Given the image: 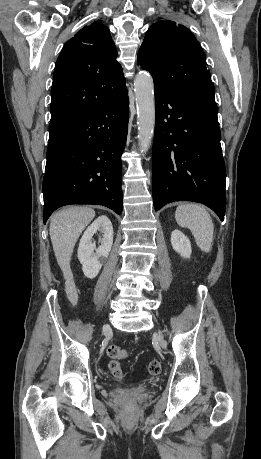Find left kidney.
Wrapping results in <instances>:
<instances>
[{
  "mask_svg": "<svg viewBox=\"0 0 261 459\" xmlns=\"http://www.w3.org/2000/svg\"><path fill=\"white\" fill-rule=\"evenodd\" d=\"M171 245L173 249L180 254L183 258H190L192 250L191 243L187 236L180 230L175 229L171 233Z\"/></svg>",
  "mask_w": 261,
  "mask_h": 459,
  "instance_id": "left-kidney-1",
  "label": "left kidney"
}]
</instances>
